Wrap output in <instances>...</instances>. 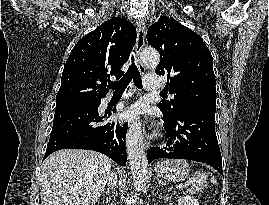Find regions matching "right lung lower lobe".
<instances>
[{"label":"right lung lower lobe","mask_w":269,"mask_h":205,"mask_svg":"<svg viewBox=\"0 0 269 205\" xmlns=\"http://www.w3.org/2000/svg\"><path fill=\"white\" fill-rule=\"evenodd\" d=\"M98 106L56 109L44 159L60 149H88L124 166L127 124H103L105 116H99Z\"/></svg>","instance_id":"right-lung-lower-lobe-1"}]
</instances>
